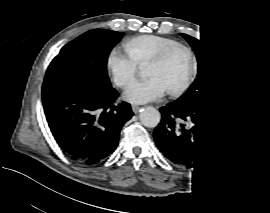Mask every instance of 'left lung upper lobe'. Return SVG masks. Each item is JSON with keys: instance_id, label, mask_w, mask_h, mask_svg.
Returning a JSON list of instances; mask_svg holds the SVG:
<instances>
[{"instance_id": "5c2ea615", "label": "left lung upper lobe", "mask_w": 270, "mask_h": 213, "mask_svg": "<svg viewBox=\"0 0 270 213\" xmlns=\"http://www.w3.org/2000/svg\"><path fill=\"white\" fill-rule=\"evenodd\" d=\"M192 46L198 60V74L190 89L179 99L200 100L225 90L229 84L227 67L201 40L181 34Z\"/></svg>"}]
</instances>
